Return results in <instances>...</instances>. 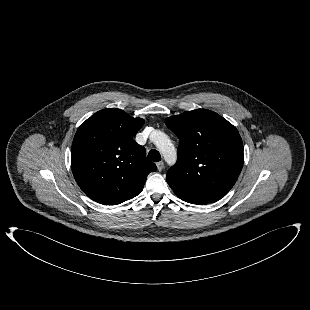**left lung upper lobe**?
Segmentation results:
<instances>
[{"label":"left lung upper lobe","mask_w":310,"mask_h":310,"mask_svg":"<svg viewBox=\"0 0 310 310\" xmlns=\"http://www.w3.org/2000/svg\"><path fill=\"white\" fill-rule=\"evenodd\" d=\"M165 124L180 139L177 162L166 175L175 194L206 203L225 196L243 167L238 130L206 109L168 117Z\"/></svg>","instance_id":"obj_1"}]
</instances>
